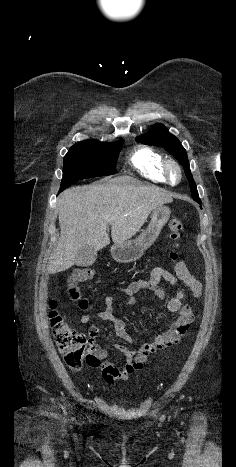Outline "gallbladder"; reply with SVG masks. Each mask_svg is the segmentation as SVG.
<instances>
[{"instance_id":"1","label":"gallbladder","mask_w":236,"mask_h":467,"mask_svg":"<svg viewBox=\"0 0 236 467\" xmlns=\"http://www.w3.org/2000/svg\"><path fill=\"white\" fill-rule=\"evenodd\" d=\"M96 258L97 251L91 246H84L77 252L75 264L80 267H88L94 264Z\"/></svg>"}]
</instances>
